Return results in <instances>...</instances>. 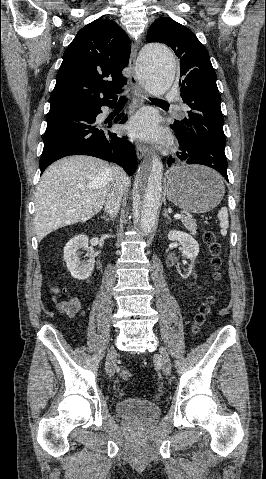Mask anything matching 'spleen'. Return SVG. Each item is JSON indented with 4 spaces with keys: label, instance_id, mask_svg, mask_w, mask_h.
I'll use <instances>...</instances> for the list:
<instances>
[{
    "label": "spleen",
    "instance_id": "obj_1",
    "mask_svg": "<svg viewBox=\"0 0 266 479\" xmlns=\"http://www.w3.org/2000/svg\"><path fill=\"white\" fill-rule=\"evenodd\" d=\"M218 219L220 221L221 235L226 236L227 235V229L229 227L228 210H227L226 207H223L219 210Z\"/></svg>",
    "mask_w": 266,
    "mask_h": 479
}]
</instances>
